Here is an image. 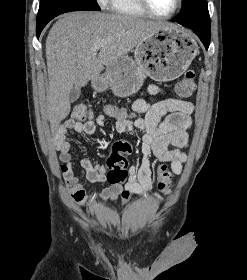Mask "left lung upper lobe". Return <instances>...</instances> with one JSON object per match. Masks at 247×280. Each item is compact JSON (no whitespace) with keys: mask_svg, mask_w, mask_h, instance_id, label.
I'll return each mask as SVG.
<instances>
[{"mask_svg":"<svg viewBox=\"0 0 247 280\" xmlns=\"http://www.w3.org/2000/svg\"><path fill=\"white\" fill-rule=\"evenodd\" d=\"M176 20L184 26L210 32L207 0H184V6Z\"/></svg>","mask_w":247,"mask_h":280,"instance_id":"left-lung-upper-lobe-1","label":"left lung upper lobe"}]
</instances>
